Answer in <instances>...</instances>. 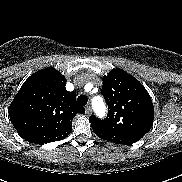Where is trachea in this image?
I'll list each match as a JSON object with an SVG mask.
<instances>
[{
  "label": "trachea",
  "instance_id": "1",
  "mask_svg": "<svg viewBox=\"0 0 182 182\" xmlns=\"http://www.w3.org/2000/svg\"><path fill=\"white\" fill-rule=\"evenodd\" d=\"M88 98L84 95H80L77 98V103L80 106H85L87 104Z\"/></svg>",
  "mask_w": 182,
  "mask_h": 182
}]
</instances>
